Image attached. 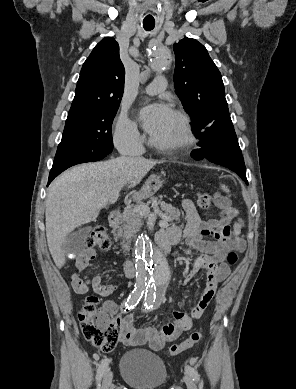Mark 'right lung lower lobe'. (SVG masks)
<instances>
[{
    "mask_svg": "<svg viewBox=\"0 0 296 389\" xmlns=\"http://www.w3.org/2000/svg\"><path fill=\"white\" fill-rule=\"evenodd\" d=\"M65 169H51L50 171V174H49V180H48V184L51 183V181L57 176L59 175L62 171H64Z\"/></svg>",
    "mask_w": 296,
    "mask_h": 389,
    "instance_id": "98d812e1",
    "label": "right lung lower lobe"
}]
</instances>
